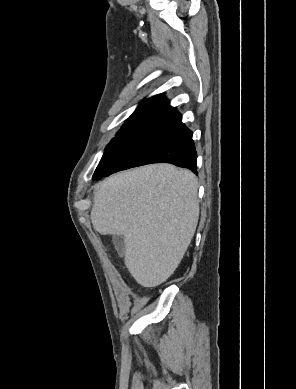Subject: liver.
<instances>
[{
    "label": "liver",
    "mask_w": 296,
    "mask_h": 389,
    "mask_svg": "<svg viewBox=\"0 0 296 389\" xmlns=\"http://www.w3.org/2000/svg\"><path fill=\"white\" fill-rule=\"evenodd\" d=\"M195 175L171 164L147 165L99 183L91 221L101 235H122L124 262L144 287L165 282L180 264L199 218Z\"/></svg>",
    "instance_id": "obj_1"
}]
</instances>
